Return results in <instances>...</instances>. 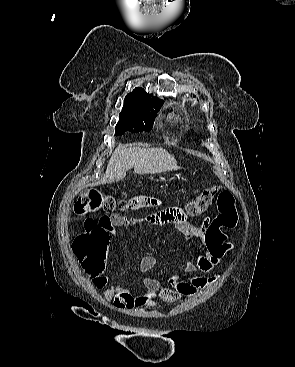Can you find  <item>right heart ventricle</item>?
<instances>
[{
  "label": "right heart ventricle",
  "instance_id": "obj_1",
  "mask_svg": "<svg viewBox=\"0 0 295 367\" xmlns=\"http://www.w3.org/2000/svg\"><path fill=\"white\" fill-rule=\"evenodd\" d=\"M176 119H179V115H178V116H176Z\"/></svg>",
  "mask_w": 295,
  "mask_h": 367
}]
</instances>
